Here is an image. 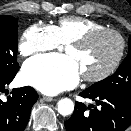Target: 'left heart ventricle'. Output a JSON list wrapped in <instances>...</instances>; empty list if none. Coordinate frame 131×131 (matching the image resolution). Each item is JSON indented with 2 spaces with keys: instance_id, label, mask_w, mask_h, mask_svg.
Returning a JSON list of instances; mask_svg holds the SVG:
<instances>
[{
  "instance_id": "1",
  "label": "left heart ventricle",
  "mask_w": 131,
  "mask_h": 131,
  "mask_svg": "<svg viewBox=\"0 0 131 131\" xmlns=\"http://www.w3.org/2000/svg\"><path fill=\"white\" fill-rule=\"evenodd\" d=\"M119 40L111 34H102L83 47L67 46L65 53L77 63L80 73L95 75L104 71L114 60Z\"/></svg>"
}]
</instances>
